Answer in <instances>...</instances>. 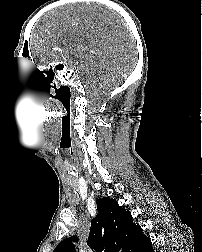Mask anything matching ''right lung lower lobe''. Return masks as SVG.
<instances>
[{"instance_id": "1", "label": "right lung lower lobe", "mask_w": 202, "mask_h": 252, "mask_svg": "<svg viewBox=\"0 0 202 252\" xmlns=\"http://www.w3.org/2000/svg\"><path fill=\"white\" fill-rule=\"evenodd\" d=\"M140 252H154L152 243L150 242L144 249L140 250Z\"/></svg>"}]
</instances>
